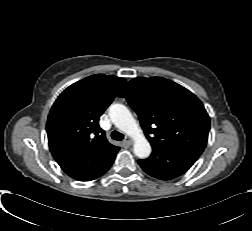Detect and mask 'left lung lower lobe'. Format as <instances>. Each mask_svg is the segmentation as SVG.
Segmentation results:
<instances>
[{
	"instance_id": "0a47b994",
	"label": "left lung lower lobe",
	"mask_w": 252,
	"mask_h": 231,
	"mask_svg": "<svg viewBox=\"0 0 252 231\" xmlns=\"http://www.w3.org/2000/svg\"><path fill=\"white\" fill-rule=\"evenodd\" d=\"M201 154L184 148L153 147L149 158L138 160L141 168L160 180L176 178L184 174Z\"/></svg>"
}]
</instances>
